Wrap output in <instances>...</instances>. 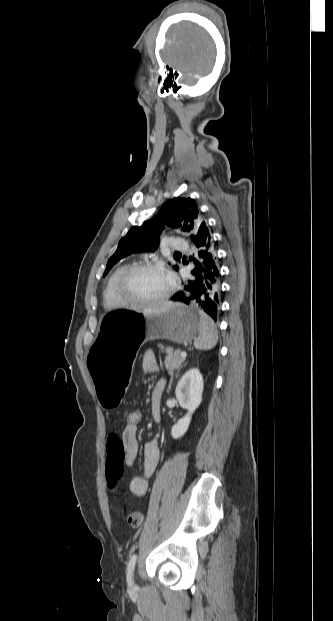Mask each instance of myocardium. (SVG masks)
<instances>
[{
	"label": "myocardium",
	"mask_w": 333,
	"mask_h": 621,
	"mask_svg": "<svg viewBox=\"0 0 333 621\" xmlns=\"http://www.w3.org/2000/svg\"><path fill=\"white\" fill-rule=\"evenodd\" d=\"M145 270L158 271L167 276L169 280V288L163 296L153 300H142L133 298L125 293V284L127 280L133 274ZM115 289L121 305L153 306L166 302L172 296L175 290V281L163 264L157 262H143L127 267L118 277Z\"/></svg>",
	"instance_id": "obj_1"
}]
</instances>
